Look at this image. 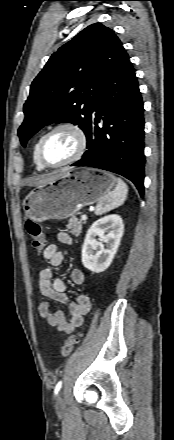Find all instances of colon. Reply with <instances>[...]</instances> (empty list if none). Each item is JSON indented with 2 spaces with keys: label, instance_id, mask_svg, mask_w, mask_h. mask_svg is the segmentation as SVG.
<instances>
[{
  "label": "colon",
  "instance_id": "1",
  "mask_svg": "<svg viewBox=\"0 0 174 440\" xmlns=\"http://www.w3.org/2000/svg\"><path fill=\"white\" fill-rule=\"evenodd\" d=\"M26 230L31 237V246L36 253H40L46 245L45 236L43 234L42 227L34 221L28 220L25 224ZM80 337L79 333L72 334L64 342L61 348V355L67 357L72 352L74 346L78 342Z\"/></svg>",
  "mask_w": 174,
  "mask_h": 440
}]
</instances>
